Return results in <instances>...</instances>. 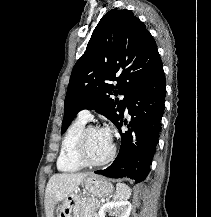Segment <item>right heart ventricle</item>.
<instances>
[{
	"label": "right heart ventricle",
	"instance_id": "obj_1",
	"mask_svg": "<svg viewBox=\"0 0 211 217\" xmlns=\"http://www.w3.org/2000/svg\"><path fill=\"white\" fill-rule=\"evenodd\" d=\"M85 120L78 118L66 131L60 146L57 168L62 172H76L83 168L76 158V144L80 133L85 128Z\"/></svg>",
	"mask_w": 211,
	"mask_h": 217
}]
</instances>
